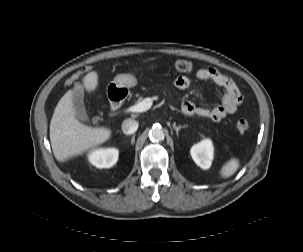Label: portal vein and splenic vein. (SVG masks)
<instances>
[{"label": "portal vein and splenic vein", "instance_id": "obj_1", "mask_svg": "<svg viewBox=\"0 0 303 252\" xmlns=\"http://www.w3.org/2000/svg\"><path fill=\"white\" fill-rule=\"evenodd\" d=\"M153 101L151 98H145L143 101L129 107L127 113H140L145 112L151 108Z\"/></svg>", "mask_w": 303, "mask_h": 252}]
</instances>
